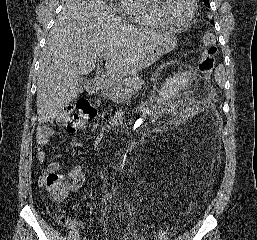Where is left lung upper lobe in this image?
Listing matches in <instances>:
<instances>
[{
	"label": "left lung upper lobe",
	"mask_w": 257,
	"mask_h": 240,
	"mask_svg": "<svg viewBox=\"0 0 257 240\" xmlns=\"http://www.w3.org/2000/svg\"><path fill=\"white\" fill-rule=\"evenodd\" d=\"M204 1V4L207 6V7H209L210 6V4H209V0H203Z\"/></svg>",
	"instance_id": "1"
}]
</instances>
